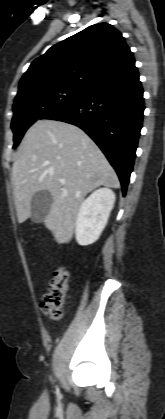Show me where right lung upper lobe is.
<instances>
[{"label": "right lung upper lobe", "instance_id": "cb5924a9", "mask_svg": "<svg viewBox=\"0 0 165 419\" xmlns=\"http://www.w3.org/2000/svg\"><path fill=\"white\" fill-rule=\"evenodd\" d=\"M134 64L133 53L122 34L110 24H95L35 59L20 80L15 99L50 87L90 92Z\"/></svg>", "mask_w": 165, "mask_h": 419}]
</instances>
